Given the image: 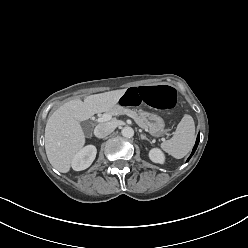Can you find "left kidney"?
<instances>
[{
  "instance_id": "1",
  "label": "left kidney",
  "mask_w": 248,
  "mask_h": 248,
  "mask_svg": "<svg viewBox=\"0 0 248 248\" xmlns=\"http://www.w3.org/2000/svg\"><path fill=\"white\" fill-rule=\"evenodd\" d=\"M149 158L154 163L163 164L165 162V156L158 148H153L149 151Z\"/></svg>"
}]
</instances>
